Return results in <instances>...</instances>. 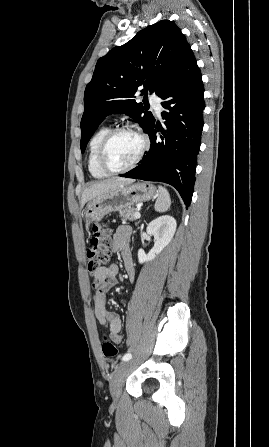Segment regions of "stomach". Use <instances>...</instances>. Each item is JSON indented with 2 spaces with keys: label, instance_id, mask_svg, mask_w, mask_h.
Wrapping results in <instances>:
<instances>
[{
  "label": "stomach",
  "instance_id": "obj_1",
  "mask_svg": "<svg viewBox=\"0 0 269 447\" xmlns=\"http://www.w3.org/2000/svg\"><path fill=\"white\" fill-rule=\"evenodd\" d=\"M156 194V188L150 182H139L132 186H118L111 192L97 196L88 202L83 210V216L87 224L101 222L102 218L110 212L126 210L138 202H147Z\"/></svg>",
  "mask_w": 269,
  "mask_h": 447
}]
</instances>
